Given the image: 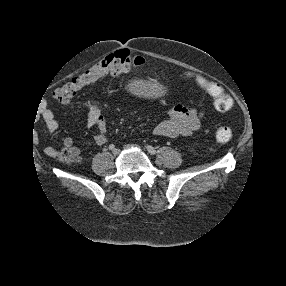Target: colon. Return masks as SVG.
I'll return each mask as SVG.
<instances>
[{
  "label": "colon",
  "mask_w": 286,
  "mask_h": 286,
  "mask_svg": "<svg viewBox=\"0 0 286 286\" xmlns=\"http://www.w3.org/2000/svg\"><path fill=\"white\" fill-rule=\"evenodd\" d=\"M148 62L141 56L132 55L127 50H119L109 54L92 67L80 75L67 81L53 94V97L59 103L65 104L72 100L76 93L91 85L98 79L107 75H122L132 70L145 67ZM181 77L188 81L199 84L214 98V107L220 112H228L233 108L234 102L231 96L227 95L220 84L207 80L193 72H183ZM215 140L221 144L229 143L233 138V131L229 126L219 125L214 131ZM60 160L70 158V152L66 149L58 153Z\"/></svg>",
  "instance_id": "obj_1"
}]
</instances>
